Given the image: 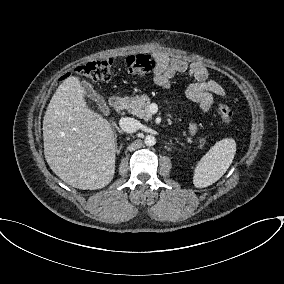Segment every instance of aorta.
<instances>
[{"instance_id": "762f6f07", "label": "aorta", "mask_w": 284, "mask_h": 284, "mask_svg": "<svg viewBox=\"0 0 284 284\" xmlns=\"http://www.w3.org/2000/svg\"><path fill=\"white\" fill-rule=\"evenodd\" d=\"M146 146H154L156 144V138L153 135H147L144 139Z\"/></svg>"}]
</instances>
